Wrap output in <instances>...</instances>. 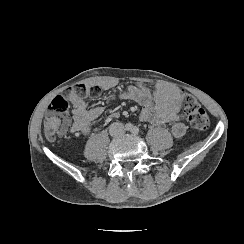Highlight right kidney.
<instances>
[{
    "label": "right kidney",
    "mask_w": 244,
    "mask_h": 244,
    "mask_svg": "<svg viewBox=\"0 0 244 244\" xmlns=\"http://www.w3.org/2000/svg\"><path fill=\"white\" fill-rule=\"evenodd\" d=\"M70 145L74 147L76 145V143H71Z\"/></svg>",
    "instance_id": "ca27d5eb"
}]
</instances>
